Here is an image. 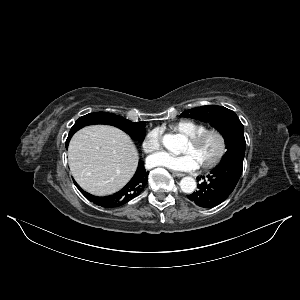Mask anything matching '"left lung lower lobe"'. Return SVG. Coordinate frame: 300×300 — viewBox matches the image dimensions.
<instances>
[{"instance_id":"1","label":"left lung lower lobe","mask_w":300,"mask_h":300,"mask_svg":"<svg viewBox=\"0 0 300 300\" xmlns=\"http://www.w3.org/2000/svg\"><path fill=\"white\" fill-rule=\"evenodd\" d=\"M243 170V160L227 158L211 171L198 190L187 197L203 208H213L222 203L234 190ZM204 179V176L202 177ZM200 179V178H198Z\"/></svg>"}]
</instances>
